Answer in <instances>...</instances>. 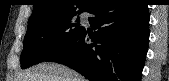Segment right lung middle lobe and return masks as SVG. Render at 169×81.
Wrapping results in <instances>:
<instances>
[{"label":"right lung middle lobe","mask_w":169,"mask_h":81,"mask_svg":"<svg viewBox=\"0 0 169 81\" xmlns=\"http://www.w3.org/2000/svg\"><path fill=\"white\" fill-rule=\"evenodd\" d=\"M75 15L39 20L28 24L21 54V68L45 61L73 41L83 30Z\"/></svg>","instance_id":"1"}]
</instances>
